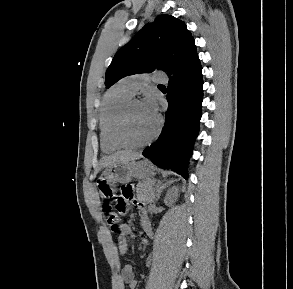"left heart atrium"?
<instances>
[{
    "label": "left heart atrium",
    "mask_w": 293,
    "mask_h": 289,
    "mask_svg": "<svg viewBox=\"0 0 293 289\" xmlns=\"http://www.w3.org/2000/svg\"><path fill=\"white\" fill-rule=\"evenodd\" d=\"M144 107L150 115L157 118L158 106L154 98L148 97L144 102Z\"/></svg>",
    "instance_id": "39dd6f15"
}]
</instances>
